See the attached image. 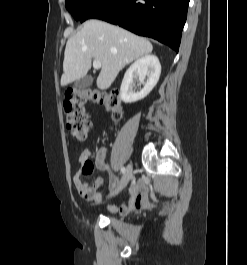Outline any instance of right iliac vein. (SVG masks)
Returning a JSON list of instances; mask_svg holds the SVG:
<instances>
[{
  "label": "right iliac vein",
  "mask_w": 247,
  "mask_h": 265,
  "mask_svg": "<svg viewBox=\"0 0 247 265\" xmlns=\"http://www.w3.org/2000/svg\"><path fill=\"white\" fill-rule=\"evenodd\" d=\"M132 176H133V169H132V166L129 164L126 167V172H125V175L123 177V180H122L119 188L116 191L112 192L109 197L115 196L118 192H120L122 189H124L127 186V184L129 183V181L131 180Z\"/></svg>",
  "instance_id": "1"
}]
</instances>
